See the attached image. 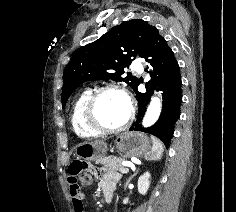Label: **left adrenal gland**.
Masks as SVG:
<instances>
[{
	"label": "left adrenal gland",
	"mask_w": 236,
	"mask_h": 212,
	"mask_svg": "<svg viewBox=\"0 0 236 212\" xmlns=\"http://www.w3.org/2000/svg\"><path fill=\"white\" fill-rule=\"evenodd\" d=\"M138 170L136 171L135 174H133L131 177H129V179L127 180L126 184H125V189L127 187V185L129 184V182L131 181V179L137 174Z\"/></svg>",
	"instance_id": "a2214340"
}]
</instances>
